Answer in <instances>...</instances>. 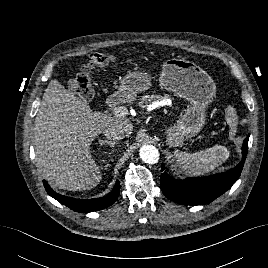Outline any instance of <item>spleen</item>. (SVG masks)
I'll use <instances>...</instances> for the list:
<instances>
[{"instance_id": "spleen-1", "label": "spleen", "mask_w": 268, "mask_h": 268, "mask_svg": "<svg viewBox=\"0 0 268 268\" xmlns=\"http://www.w3.org/2000/svg\"><path fill=\"white\" fill-rule=\"evenodd\" d=\"M225 119L230 126L229 137L232 139L236 133L238 124L235 108L229 106L226 109ZM174 155L178 165L183 171L193 176H199L214 170L225 162L229 158L230 152L225 146L215 145L196 153L176 150Z\"/></svg>"}]
</instances>
